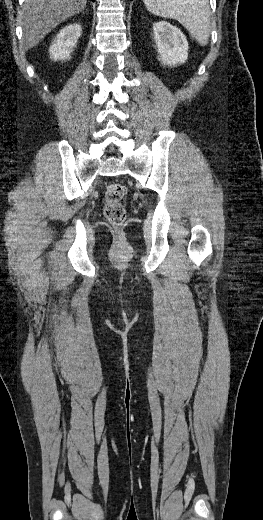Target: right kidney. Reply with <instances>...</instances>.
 I'll use <instances>...</instances> for the list:
<instances>
[{
    "instance_id": "1",
    "label": "right kidney",
    "mask_w": 263,
    "mask_h": 520,
    "mask_svg": "<svg viewBox=\"0 0 263 520\" xmlns=\"http://www.w3.org/2000/svg\"><path fill=\"white\" fill-rule=\"evenodd\" d=\"M81 33L82 28L79 23H73L61 29L49 48L50 58L54 61L70 59Z\"/></svg>"
}]
</instances>
